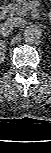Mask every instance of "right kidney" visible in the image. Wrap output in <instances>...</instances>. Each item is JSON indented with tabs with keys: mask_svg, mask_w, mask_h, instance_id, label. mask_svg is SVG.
I'll return each mask as SVG.
<instances>
[{
	"mask_svg": "<svg viewBox=\"0 0 51 153\" xmlns=\"http://www.w3.org/2000/svg\"><path fill=\"white\" fill-rule=\"evenodd\" d=\"M5 51H6V45L3 42H1L0 43V58H1V61L4 60Z\"/></svg>",
	"mask_w": 51,
	"mask_h": 153,
	"instance_id": "1",
	"label": "right kidney"
}]
</instances>
